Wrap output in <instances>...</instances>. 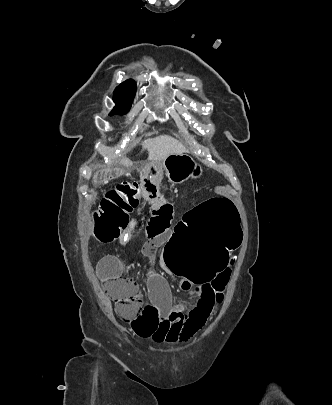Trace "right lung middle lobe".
<instances>
[{
  "label": "right lung middle lobe",
  "mask_w": 332,
  "mask_h": 405,
  "mask_svg": "<svg viewBox=\"0 0 332 405\" xmlns=\"http://www.w3.org/2000/svg\"><path fill=\"white\" fill-rule=\"evenodd\" d=\"M135 96V90L129 88L127 86H123L122 84L116 88L114 92V102L115 107L109 115L114 114H125L129 111L132 100Z\"/></svg>",
  "instance_id": "dd1d6c3e"
}]
</instances>
